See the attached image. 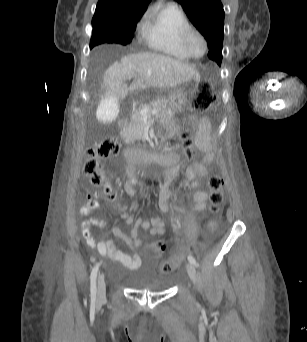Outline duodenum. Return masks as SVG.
<instances>
[{
	"label": "duodenum",
	"mask_w": 307,
	"mask_h": 342,
	"mask_svg": "<svg viewBox=\"0 0 307 342\" xmlns=\"http://www.w3.org/2000/svg\"><path fill=\"white\" fill-rule=\"evenodd\" d=\"M119 122L124 127L127 124L128 119L127 117H120ZM124 158L130 164L138 165L143 169L153 163L171 166L172 168L174 166V160L171 153L163 155L133 146H128L124 149Z\"/></svg>",
	"instance_id": "obj_1"
}]
</instances>
